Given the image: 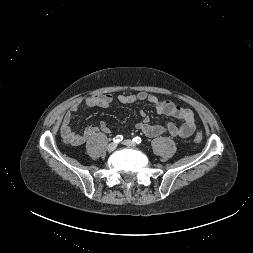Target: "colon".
Segmentation results:
<instances>
[{
	"mask_svg": "<svg viewBox=\"0 0 253 253\" xmlns=\"http://www.w3.org/2000/svg\"><path fill=\"white\" fill-rule=\"evenodd\" d=\"M202 139H203V133H202V131L197 132L195 134L194 138H193L194 142H196V143L201 142Z\"/></svg>",
	"mask_w": 253,
	"mask_h": 253,
	"instance_id": "colon-1",
	"label": "colon"
}]
</instances>
